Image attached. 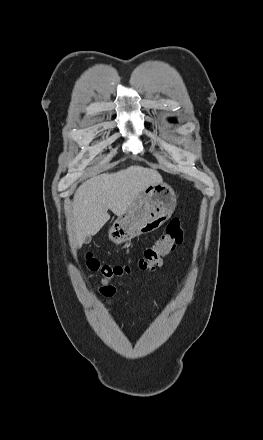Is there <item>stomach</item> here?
Masks as SVG:
<instances>
[{"mask_svg":"<svg viewBox=\"0 0 263 440\" xmlns=\"http://www.w3.org/2000/svg\"><path fill=\"white\" fill-rule=\"evenodd\" d=\"M177 204L174 189L163 182L146 187L118 217L109 230V238L119 244L159 229L172 215Z\"/></svg>","mask_w":263,"mask_h":440,"instance_id":"0dacf381","label":"stomach"}]
</instances>
